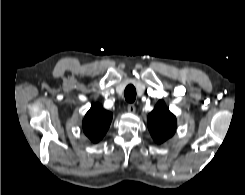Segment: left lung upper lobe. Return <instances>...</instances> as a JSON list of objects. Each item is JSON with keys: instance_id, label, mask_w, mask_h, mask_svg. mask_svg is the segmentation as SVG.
<instances>
[{"instance_id": "left-lung-upper-lobe-1", "label": "left lung upper lobe", "mask_w": 245, "mask_h": 195, "mask_svg": "<svg viewBox=\"0 0 245 195\" xmlns=\"http://www.w3.org/2000/svg\"><path fill=\"white\" fill-rule=\"evenodd\" d=\"M176 126V117L169 111L164 101L160 100L148 116L151 136L161 144L174 135Z\"/></svg>"}]
</instances>
